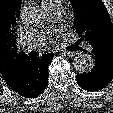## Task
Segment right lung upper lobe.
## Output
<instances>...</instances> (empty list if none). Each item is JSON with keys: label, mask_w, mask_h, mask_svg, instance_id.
<instances>
[{"label": "right lung upper lobe", "mask_w": 113, "mask_h": 113, "mask_svg": "<svg viewBox=\"0 0 113 113\" xmlns=\"http://www.w3.org/2000/svg\"><path fill=\"white\" fill-rule=\"evenodd\" d=\"M20 0H0V73L6 83L19 74L29 59L16 48L15 25L19 15Z\"/></svg>", "instance_id": "1"}]
</instances>
